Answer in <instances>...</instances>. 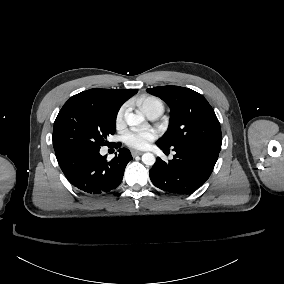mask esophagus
<instances>
[{
	"mask_svg": "<svg viewBox=\"0 0 284 284\" xmlns=\"http://www.w3.org/2000/svg\"><path fill=\"white\" fill-rule=\"evenodd\" d=\"M132 156H137V155H142L143 154V152L142 151H137V150H132Z\"/></svg>",
	"mask_w": 284,
	"mask_h": 284,
	"instance_id": "34e87169",
	"label": "esophagus"
}]
</instances>
